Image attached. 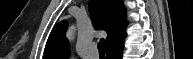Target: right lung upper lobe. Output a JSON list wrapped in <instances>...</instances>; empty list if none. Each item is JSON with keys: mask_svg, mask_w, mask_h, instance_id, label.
Returning a JSON list of instances; mask_svg holds the SVG:
<instances>
[{"mask_svg": "<svg viewBox=\"0 0 193 59\" xmlns=\"http://www.w3.org/2000/svg\"><path fill=\"white\" fill-rule=\"evenodd\" d=\"M89 10L96 28L107 32V48L125 35L126 12L122 0H90ZM67 23H58L51 31L44 50V59H66L69 54L65 38Z\"/></svg>", "mask_w": 193, "mask_h": 59, "instance_id": "cb5924a9", "label": "right lung upper lobe"}]
</instances>
